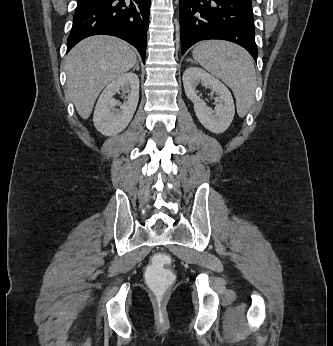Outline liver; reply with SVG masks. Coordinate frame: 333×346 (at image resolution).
<instances>
[{"mask_svg":"<svg viewBox=\"0 0 333 346\" xmlns=\"http://www.w3.org/2000/svg\"><path fill=\"white\" fill-rule=\"evenodd\" d=\"M136 63L130 45L116 37L97 35L79 42L66 57L67 93L78 114L87 119L102 89Z\"/></svg>","mask_w":333,"mask_h":346,"instance_id":"6515ba94","label":"liver"}]
</instances>
